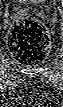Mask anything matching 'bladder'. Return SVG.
I'll use <instances>...</instances> for the list:
<instances>
[{
  "mask_svg": "<svg viewBox=\"0 0 63 107\" xmlns=\"http://www.w3.org/2000/svg\"><path fill=\"white\" fill-rule=\"evenodd\" d=\"M14 1L18 3H38L41 0H14Z\"/></svg>",
  "mask_w": 63,
  "mask_h": 107,
  "instance_id": "1",
  "label": "bladder"
}]
</instances>
